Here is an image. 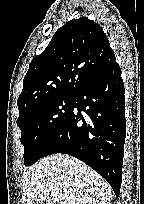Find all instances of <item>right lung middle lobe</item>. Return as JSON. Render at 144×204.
Masks as SVG:
<instances>
[{
	"mask_svg": "<svg viewBox=\"0 0 144 204\" xmlns=\"http://www.w3.org/2000/svg\"><path fill=\"white\" fill-rule=\"evenodd\" d=\"M74 99V95L58 96L19 115L17 125L26 166L43 157L47 145L70 116Z\"/></svg>",
	"mask_w": 144,
	"mask_h": 204,
	"instance_id": "obj_1",
	"label": "right lung middle lobe"
}]
</instances>
